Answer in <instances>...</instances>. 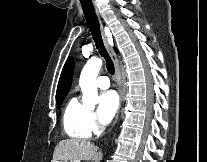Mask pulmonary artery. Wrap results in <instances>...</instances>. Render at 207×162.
I'll list each match as a JSON object with an SVG mask.
<instances>
[{
	"label": "pulmonary artery",
	"instance_id": "obj_1",
	"mask_svg": "<svg viewBox=\"0 0 207 162\" xmlns=\"http://www.w3.org/2000/svg\"><path fill=\"white\" fill-rule=\"evenodd\" d=\"M96 85L100 89H108L110 87V81L107 76H99L96 80Z\"/></svg>",
	"mask_w": 207,
	"mask_h": 162
}]
</instances>
